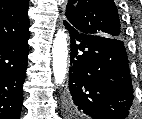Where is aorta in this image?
I'll use <instances>...</instances> for the list:
<instances>
[{
	"instance_id": "obj_1",
	"label": "aorta",
	"mask_w": 142,
	"mask_h": 119,
	"mask_svg": "<svg viewBox=\"0 0 142 119\" xmlns=\"http://www.w3.org/2000/svg\"><path fill=\"white\" fill-rule=\"evenodd\" d=\"M52 58L55 83L61 85L66 77L68 58L67 34L64 30H58L55 34L52 46Z\"/></svg>"
}]
</instances>
